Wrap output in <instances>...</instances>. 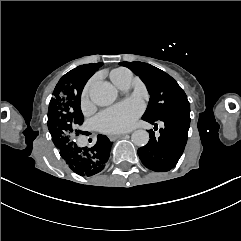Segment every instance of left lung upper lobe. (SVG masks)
<instances>
[{"mask_svg":"<svg viewBox=\"0 0 241 241\" xmlns=\"http://www.w3.org/2000/svg\"><path fill=\"white\" fill-rule=\"evenodd\" d=\"M120 65L128 67L139 76L150 94L143 120H159L180 108L190 106L183 89L164 71L139 61L121 62Z\"/></svg>","mask_w":241,"mask_h":241,"instance_id":"5c2ea615","label":"left lung upper lobe"}]
</instances>
